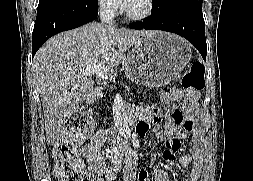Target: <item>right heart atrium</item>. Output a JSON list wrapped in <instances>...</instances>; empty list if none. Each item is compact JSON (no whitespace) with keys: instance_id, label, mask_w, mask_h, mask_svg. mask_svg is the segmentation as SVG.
Masks as SVG:
<instances>
[{"instance_id":"obj_1","label":"right heart atrium","mask_w":253,"mask_h":181,"mask_svg":"<svg viewBox=\"0 0 253 181\" xmlns=\"http://www.w3.org/2000/svg\"><path fill=\"white\" fill-rule=\"evenodd\" d=\"M98 8L102 14L112 17L117 12L116 0H98Z\"/></svg>"}]
</instances>
